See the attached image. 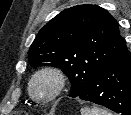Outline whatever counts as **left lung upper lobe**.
<instances>
[{"mask_svg":"<svg viewBox=\"0 0 131 115\" xmlns=\"http://www.w3.org/2000/svg\"><path fill=\"white\" fill-rule=\"evenodd\" d=\"M116 20L97 5H79L59 13L33 41L30 65L59 67L77 97L104 68L126 52Z\"/></svg>","mask_w":131,"mask_h":115,"instance_id":"5c2ea615","label":"left lung upper lobe"}]
</instances>
